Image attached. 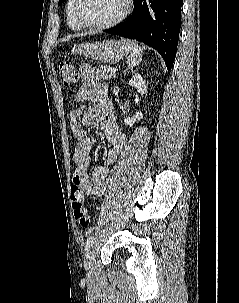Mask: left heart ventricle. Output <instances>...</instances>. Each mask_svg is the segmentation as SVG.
Here are the masks:
<instances>
[{"label":"left heart ventricle","mask_w":239,"mask_h":303,"mask_svg":"<svg viewBox=\"0 0 239 303\" xmlns=\"http://www.w3.org/2000/svg\"><path fill=\"white\" fill-rule=\"evenodd\" d=\"M125 7V0H83L80 13L88 23L100 24L118 17Z\"/></svg>","instance_id":"1"}]
</instances>
